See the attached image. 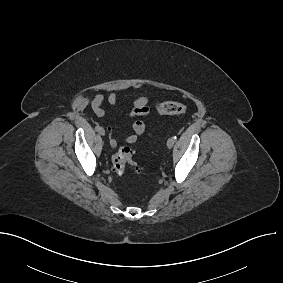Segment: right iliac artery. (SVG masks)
<instances>
[{"mask_svg":"<svg viewBox=\"0 0 283 283\" xmlns=\"http://www.w3.org/2000/svg\"><path fill=\"white\" fill-rule=\"evenodd\" d=\"M101 129V127L99 126V125H97L96 127H95V130L96 131H99Z\"/></svg>","mask_w":283,"mask_h":283,"instance_id":"1","label":"right iliac artery"}]
</instances>
